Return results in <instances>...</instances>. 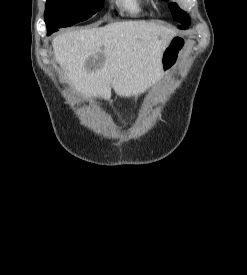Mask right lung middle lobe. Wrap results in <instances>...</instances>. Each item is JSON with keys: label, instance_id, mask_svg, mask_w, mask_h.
Wrapping results in <instances>:
<instances>
[{"label": "right lung middle lobe", "instance_id": "obj_1", "mask_svg": "<svg viewBox=\"0 0 247 275\" xmlns=\"http://www.w3.org/2000/svg\"><path fill=\"white\" fill-rule=\"evenodd\" d=\"M104 0H47L45 22L47 32L84 21L103 7Z\"/></svg>", "mask_w": 247, "mask_h": 275}]
</instances>
